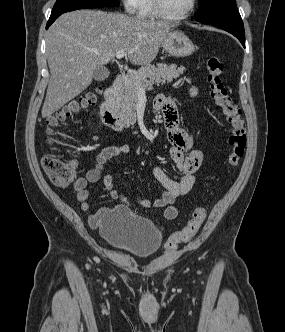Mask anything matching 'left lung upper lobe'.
I'll return each mask as SVG.
<instances>
[{
    "label": "left lung upper lobe",
    "mask_w": 285,
    "mask_h": 332,
    "mask_svg": "<svg viewBox=\"0 0 285 332\" xmlns=\"http://www.w3.org/2000/svg\"><path fill=\"white\" fill-rule=\"evenodd\" d=\"M194 19L201 23L232 22L241 20L235 0H199Z\"/></svg>",
    "instance_id": "1"
}]
</instances>
